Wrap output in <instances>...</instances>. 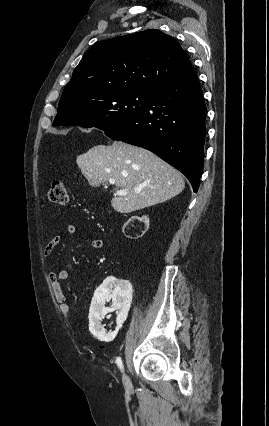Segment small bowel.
Listing matches in <instances>:
<instances>
[{"instance_id":"small-bowel-1","label":"small bowel","mask_w":269,"mask_h":426,"mask_svg":"<svg viewBox=\"0 0 269 426\" xmlns=\"http://www.w3.org/2000/svg\"><path fill=\"white\" fill-rule=\"evenodd\" d=\"M68 234H74L76 232V227L72 224L67 226ZM61 242V236H54L44 247V255H50L56 246ZM90 245L93 249H101L103 247V241L99 238H93L90 241ZM74 269L72 263H67L66 266L60 270H53L49 273V282L52 288V291L55 296V300L59 305V310L63 317L69 318L71 315L70 306L67 302L66 295L62 289V282L69 278L71 271Z\"/></svg>"}]
</instances>
